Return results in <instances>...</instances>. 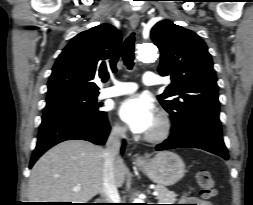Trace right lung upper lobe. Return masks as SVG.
Returning a JSON list of instances; mask_svg holds the SVG:
<instances>
[{"label":"right lung upper lobe","mask_w":253,"mask_h":205,"mask_svg":"<svg viewBox=\"0 0 253 205\" xmlns=\"http://www.w3.org/2000/svg\"><path fill=\"white\" fill-rule=\"evenodd\" d=\"M122 41L120 31L100 24L75 36L57 58L48 82L47 101L98 95L95 78L116 72Z\"/></svg>","instance_id":"obj_1"}]
</instances>
